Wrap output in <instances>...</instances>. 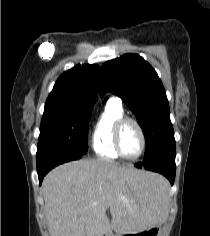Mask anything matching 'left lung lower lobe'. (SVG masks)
Masks as SVG:
<instances>
[{"mask_svg": "<svg viewBox=\"0 0 210 236\" xmlns=\"http://www.w3.org/2000/svg\"><path fill=\"white\" fill-rule=\"evenodd\" d=\"M138 168L155 171L167 177L173 185L175 179V139H171L155 149L143 162L135 164Z\"/></svg>", "mask_w": 210, "mask_h": 236, "instance_id": "left-lung-lower-lobe-1", "label": "left lung lower lobe"}]
</instances>
